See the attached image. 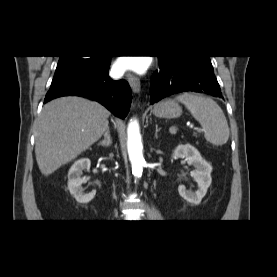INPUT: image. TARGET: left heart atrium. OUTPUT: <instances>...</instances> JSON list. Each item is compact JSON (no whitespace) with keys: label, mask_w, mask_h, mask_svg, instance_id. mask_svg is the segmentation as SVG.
Returning a JSON list of instances; mask_svg holds the SVG:
<instances>
[{"label":"left heart atrium","mask_w":277,"mask_h":277,"mask_svg":"<svg viewBox=\"0 0 277 277\" xmlns=\"http://www.w3.org/2000/svg\"><path fill=\"white\" fill-rule=\"evenodd\" d=\"M145 67V62L141 60H122L119 62V68L121 70L133 69L136 71H143Z\"/></svg>","instance_id":"39dd6f15"}]
</instances>
